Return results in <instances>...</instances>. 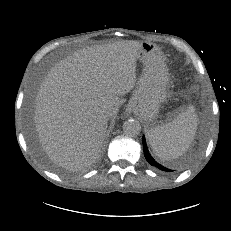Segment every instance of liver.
<instances>
[{
	"label": "liver",
	"mask_w": 231,
	"mask_h": 231,
	"mask_svg": "<svg viewBox=\"0 0 231 231\" xmlns=\"http://www.w3.org/2000/svg\"><path fill=\"white\" fill-rule=\"evenodd\" d=\"M141 43L126 40L79 50L56 64L35 100L34 123L48 157L61 167L81 170L99 155L120 96L136 83ZM110 115L104 117L103 110Z\"/></svg>",
	"instance_id": "obj_1"
}]
</instances>
